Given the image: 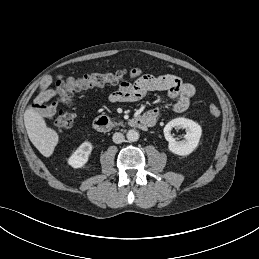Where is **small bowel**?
I'll use <instances>...</instances> for the list:
<instances>
[{"label":"small bowel","instance_id":"1","mask_svg":"<svg viewBox=\"0 0 259 259\" xmlns=\"http://www.w3.org/2000/svg\"><path fill=\"white\" fill-rule=\"evenodd\" d=\"M133 82H123L112 90L109 98L113 102H135L143 99L147 93L156 91H166L170 100H173V110L177 113L186 111L194 96V86L173 74L150 75L144 74L140 69L131 70ZM63 75H58L57 79H63ZM55 90L48 87V81H44L40 90L31 104L32 111L38 113L47 120H53L57 112V102L54 100ZM53 100L49 105L45 103ZM159 109H152L145 115L153 119L159 116Z\"/></svg>","mask_w":259,"mask_h":259}]
</instances>
